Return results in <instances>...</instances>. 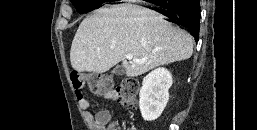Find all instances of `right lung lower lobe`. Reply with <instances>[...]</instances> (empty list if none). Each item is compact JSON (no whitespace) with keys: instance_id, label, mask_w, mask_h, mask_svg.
Here are the masks:
<instances>
[{"instance_id":"obj_1","label":"right lung lower lobe","mask_w":257,"mask_h":130,"mask_svg":"<svg viewBox=\"0 0 257 130\" xmlns=\"http://www.w3.org/2000/svg\"><path fill=\"white\" fill-rule=\"evenodd\" d=\"M167 21L183 26L190 30L191 35L198 41L200 28L199 0H169L157 4Z\"/></svg>"}]
</instances>
